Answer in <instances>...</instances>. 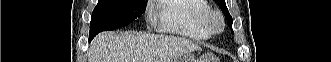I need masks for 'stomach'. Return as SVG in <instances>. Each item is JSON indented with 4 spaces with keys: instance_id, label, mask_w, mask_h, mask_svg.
<instances>
[{
    "instance_id": "0dacf381",
    "label": "stomach",
    "mask_w": 331,
    "mask_h": 62,
    "mask_svg": "<svg viewBox=\"0 0 331 62\" xmlns=\"http://www.w3.org/2000/svg\"><path fill=\"white\" fill-rule=\"evenodd\" d=\"M172 62H195L193 58L188 55H181L175 58Z\"/></svg>"
}]
</instances>
